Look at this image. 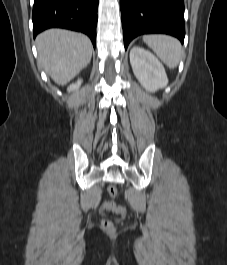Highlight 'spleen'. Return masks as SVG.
Segmentation results:
<instances>
[{
    "instance_id": "obj_1",
    "label": "spleen",
    "mask_w": 227,
    "mask_h": 265,
    "mask_svg": "<svg viewBox=\"0 0 227 265\" xmlns=\"http://www.w3.org/2000/svg\"><path fill=\"white\" fill-rule=\"evenodd\" d=\"M143 41L169 68L177 67L182 56V46L176 38L168 35H145Z\"/></svg>"
}]
</instances>
